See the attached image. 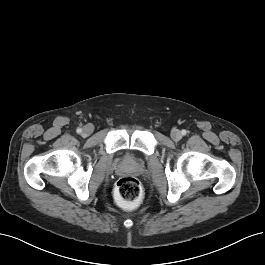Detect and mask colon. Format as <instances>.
<instances>
[{"instance_id": "5ec220e1", "label": "colon", "mask_w": 265, "mask_h": 265, "mask_svg": "<svg viewBox=\"0 0 265 265\" xmlns=\"http://www.w3.org/2000/svg\"><path fill=\"white\" fill-rule=\"evenodd\" d=\"M115 193L120 201L132 204L141 198L142 188L136 178L123 177L117 182Z\"/></svg>"}]
</instances>
